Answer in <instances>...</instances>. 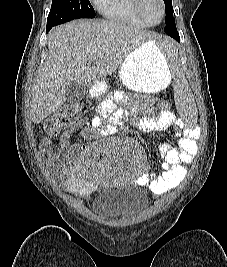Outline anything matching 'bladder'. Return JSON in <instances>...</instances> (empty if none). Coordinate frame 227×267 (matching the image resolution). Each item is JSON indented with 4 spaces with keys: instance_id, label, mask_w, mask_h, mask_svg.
<instances>
[{
    "instance_id": "31cf9c89",
    "label": "bladder",
    "mask_w": 227,
    "mask_h": 267,
    "mask_svg": "<svg viewBox=\"0 0 227 267\" xmlns=\"http://www.w3.org/2000/svg\"><path fill=\"white\" fill-rule=\"evenodd\" d=\"M124 192L130 194L124 195ZM148 204L147 197L129 185L102 189L92 201L93 212L105 221L130 219L140 213Z\"/></svg>"
}]
</instances>
